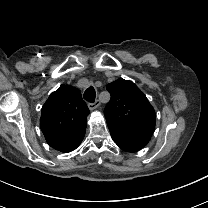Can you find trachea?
<instances>
[{
	"mask_svg": "<svg viewBox=\"0 0 208 208\" xmlns=\"http://www.w3.org/2000/svg\"><path fill=\"white\" fill-rule=\"evenodd\" d=\"M84 99L88 102L94 103L96 92L93 86L88 87L83 95Z\"/></svg>",
	"mask_w": 208,
	"mask_h": 208,
	"instance_id": "3493384b",
	"label": "trachea"
}]
</instances>
